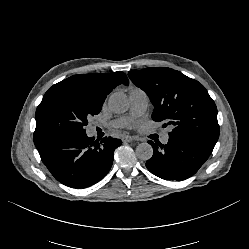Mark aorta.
Segmentation results:
<instances>
[{
	"label": "aorta",
	"instance_id": "obj_1",
	"mask_svg": "<svg viewBox=\"0 0 249 249\" xmlns=\"http://www.w3.org/2000/svg\"><path fill=\"white\" fill-rule=\"evenodd\" d=\"M109 109L114 113H124L129 108L128 98L124 93L115 92L108 100ZM153 155V148L148 143H140L136 147V156L140 160H149Z\"/></svg>",
	"mask_w": 249,
	"mask_h": 249
}]
</instances>
